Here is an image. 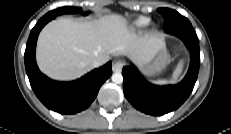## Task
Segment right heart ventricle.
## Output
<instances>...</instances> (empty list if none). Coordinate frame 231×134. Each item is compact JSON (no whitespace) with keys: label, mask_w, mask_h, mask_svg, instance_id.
<instances>
[{"label":"right heart ventricle","mask_w":231,"mask_h":134,"mask_svg":"<svg viewBox=\"0 0 231 134\" xmlns=\"http://www.w3.org/2000/svg\"><path fill=\"white\" fill-rule=\"evenodd\" d=\"M149 22V19L146 17H141L138 18L135 22H134V26L137 28H141L144 27L145 25H147Z\"/></svg>","instance_id":"right-heart-ventricle-1"}]
</instances>
